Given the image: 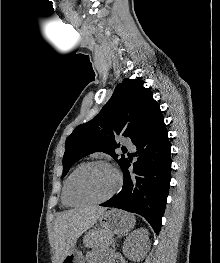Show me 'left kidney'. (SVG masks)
<instances>
[{
	"label": "left kidney",
	"mask_w": 220,
	"mask_h": 263,
	"mask_svg": "<svg viewBox=\"0 0 220 263\" xmlns=\"http://www.w3.org/2000/svg\"><path fill=\"white\" fill-rule=\"evenodd\" d=\"M150 249L149 232L146 228L134 230L123 245L124 255L134 261H140Z\"/></svg>",
	"instance_id": "1"
}]
</instances>
